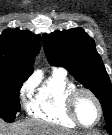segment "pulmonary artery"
I'll list each match as a JSON object with an SVG mask.
<instances>
[{"instance_id": "obj_1", "label": "pulmonary artery", "mask_w": 112, "mask_h": 135, "mask_svg": "<svg viewBox=\"0 0 112 135\" xmlns=\"http://www.w3.org/2000/svg\"><path fill=\"white\" fill-rule=\"evenodd\" d=\"M60 72H63V73H64V71H63V70H60Z\"/></svg>"}]
</instances>
